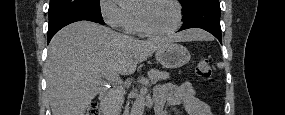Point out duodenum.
<instances>
[{"label":"duodenum","instance_id":"1","mask_svg":"<svg viewBox=\"0 0 285 115\" xmlns=\"http://www.w3.org/2000/svg\"><path fill=\"white\" fill-rule=\"evenodd\" d=\"M100 102H101V108L103 110V114L108 115L109 114V90L103 89L99 94Z\"/></svg>","mask_w":285,"mask_h":115}]
</instances>
